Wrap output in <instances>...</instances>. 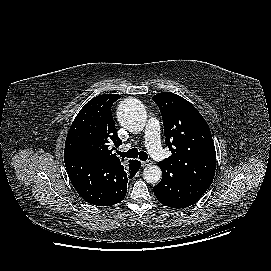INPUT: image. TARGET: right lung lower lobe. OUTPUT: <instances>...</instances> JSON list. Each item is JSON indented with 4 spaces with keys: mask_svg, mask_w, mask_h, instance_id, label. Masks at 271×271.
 I'll use <instances>...</instances> for the list:
<instances>
[{
    "mask_svg": "<svg viewBox=\"0 0 271 271\" xmlns=\"http://www.w3.org/2000/svg\"><path fill=\"white\" fill-rule=\"evenodd\" d=\"M64 161L76 191L88 203L96 206H111L122 201L127 192L128 180L141 167L138 160L124 167L82 155H71L64 158Z\"/></svg>",
    "mask_w": 271,
    "mask_h": 271,
    "instance_id": "obj_1",
    "label": "right lung lower lobe"
}]
</instances>
